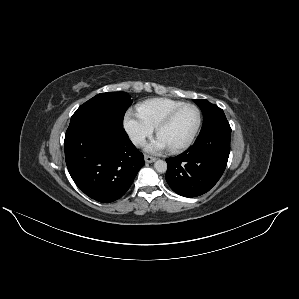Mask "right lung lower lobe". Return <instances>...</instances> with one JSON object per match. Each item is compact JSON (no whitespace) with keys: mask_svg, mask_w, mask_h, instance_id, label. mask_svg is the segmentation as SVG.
<instances>
[{"mask_svg":"<svg viewBox=\"0 0 299 299\" xmlns=\"http://www.w3.org/2000/svg\"><path fill=\"white\" fill-rule=\"evenodd\" d=\"M64 150L75 184L102 203L122 197L145 163L125 130L106 121L70 123Z\"/></svg>","mask_w":299,"mask_h":299,"instance_id":"1","label":"right lung lower lobe"}]
</instances>
